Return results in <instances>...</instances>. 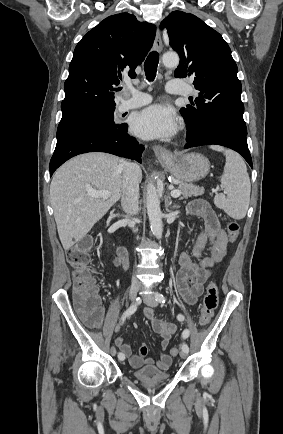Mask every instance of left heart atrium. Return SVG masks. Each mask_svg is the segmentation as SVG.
<instances>
[{
  "label": "left heart atrium",
  "instance_id": "left-heart-atrium-1",
  "mask_svg": "<svg viewBox=\"0 0 283 434\" xmlns=\"http://www.w3.org/2000/svg\"><path fill=\"white\" fill-rule=\"evenodd\" d=\"M178 128L175 111L163 104L151 105L139 112L133 122V131L146 139L168 138Z\"/></svg>",
  "mask_w": 283,
  "mask_h": 434
}]
</instances>
